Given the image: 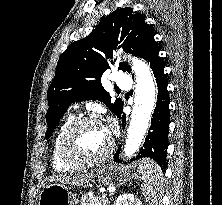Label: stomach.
<instances>
[{
	"mask_svg": "<svg viewBox=\"0 0 222 205\" xmlns=\"http://www.w3.org/2000/svg\"><path fill=\"white\" fill-rule=\"evenodd\" d=\"M137 162L118 167L115 165L105 166L99 169L95 178L104 186H120L133 177L138 176ZM39 205H77L76 196L65 184L51 183L47 185L40 193Z\"/></svg>",
	"mask_w": 222,
	"mask_h": 205,
	"instance_id": "1",
	"label": "stomach"
}]
</instances>
